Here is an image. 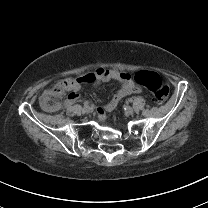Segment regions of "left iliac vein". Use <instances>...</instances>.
Here are the masks:
<instances>
[{
    "instance_id": "4c4485c4",
    "label": "left iliac vein",
    "mask_w": 208,
    "mask_h": 208,
    "mask_svg": "<svg viewBox=\"0 0 208 208\" xmlns=\"http://www.w3.org/2000/svg\"><path fill=\"white\" fill-rule=\"evenodd\" d=\"M124 112H125V114H127V115H132V114L134 113V110H133V108L130 107V106H124Z\"/></svg>"
}]
</instances>
